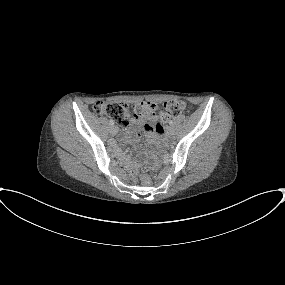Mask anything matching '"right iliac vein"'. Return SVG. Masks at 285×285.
Masks as SVG:
<instances>
[{
	"mask_svg": "<svg viewBox=\"0 0 285 285\" xmlns=\"http://www.w3.org/2000/svg\"><path fill=\"white\" fill-rule=\"evenodd\" d=\"M118 132V128L116 126H111L109 128V133L114 136Z\"/></svg>",
	"mask_w": 285,
	"mask_h": 285,
	"instance_id": "1",
	"label": "right iliac vein"
}]
</instances>
